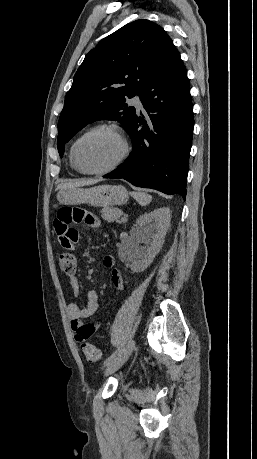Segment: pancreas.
<instances>
[{
	"label": "pancreas",
	"instance_id": "pancreas-1",
	"mask_svg": "<svg viewBox=\"0 0 257 459\" xmlns=\"http://www.w3.org/2000/svg\"><path fill=\"white\" fill-rule=\"evenodd\" d=\"M122 214L123 212L120 209L114 207H106L101 210L102 218L108 222L122 223L123 221L120 220Z\"/></svg>",
	"mask_w": 257,
	"mask_h": 459
}]
</instances>
